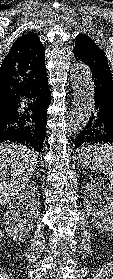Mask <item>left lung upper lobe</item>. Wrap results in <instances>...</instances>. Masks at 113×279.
Returning <instances> with one entry per match:
<instances>
[{
    "label": "left lung upper lobe",
    "instance_id": "left-lung-upper-lobe-1",
    "mask_svg": "<svg viewBox=\"0 0 113 279\" xmlns=\"http://www.w3.org/2000/svg\"><path fill=\"white\" fill-rule=\"evenodd\" d=\"M75 57L88 65L90 69L97 70L101 74L112 78L111 70L104 52L87 35L79 34L76 36Z\"/></svg>",
    "mask_w": 113,
    "mask_h": 279
}]
</instances>
